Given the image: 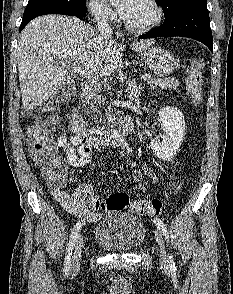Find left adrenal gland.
Instances as JSON below:
<instances>
[{"label": "left adrenal gland", "mask_w": 233, "mask_h": 294, "mask_svg": "<svg viewBox=\"0 0 233 294\" xmlns=\"http://www.w3.org/2000/svg\"><path fill=\"white\" fill-rule=\"evenodd\" d=\"M143 89L144 87L141 84L137 85L136 80L133 79L130 86V96H133L136 101H139V95Z\"/></svg>", "instance_id": "1"}]
</instances>
